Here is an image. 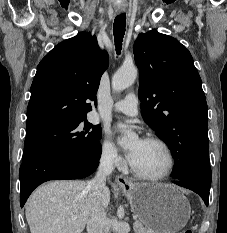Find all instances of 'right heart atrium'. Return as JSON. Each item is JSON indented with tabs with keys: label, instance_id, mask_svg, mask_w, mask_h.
Segmentation results:
<instances>
[{
	"label": "right heart atrium",
	"instance_id": "d8ad5b80",
	"mask_svg": "<svg viewBox=\"0 0 227 233\" xmlns=\"http://www.w3.org/2000/svg\"><path fill=\"white\" fill-rule=\"evenodd\" d=\"M100 162L107 168L120 167L123 163L121 156L114 144L108 137H105L100 147Z\"/></svg>",
	"mask_w": 227,
	"mask_h": 233
}]
</instances>
